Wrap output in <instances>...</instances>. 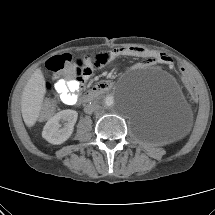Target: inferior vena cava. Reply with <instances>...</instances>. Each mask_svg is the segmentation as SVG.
<instances>
[{
  "label": "inferior vena cava",
  "mask_w": 215,
  "mask_h": 215,
  "mask_svg": "<svg viewBox=\"0 0 215 215\" xmlns=\"http://www.w3.org/2000/svg\"><path fill=\"white\" fill-rule=\"evenodd\" d=\"M97 109V104L94 102L92 104H87L84 108V111L88 114L93 113Z\"/></svg>",
  "instance_id": "602c4592"
}]
</instances>
